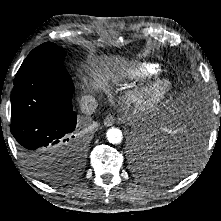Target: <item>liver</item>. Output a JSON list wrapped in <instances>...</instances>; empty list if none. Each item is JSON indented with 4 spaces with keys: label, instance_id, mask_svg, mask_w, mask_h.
Returning a JSON list of instances; mask_svg holds the SVG:
<instances>
[{
    "label": "liver",
    "instance_id": "1",
    "mask_svg": "<svg viewBox=\"0 0 221 221\" xmlns=\"http://www.w3.org/2000/svg\"><path fill=\"white\" fill-rule=\"evenodd\" d=\"M87 64L89 79H84V83L89 89L94 88L101 80L114 78L117 73H122L128 66V62L125 58L112 56H104L99 59L92 57L88 59ZM45 162V166L50 167V165L54 163V160L50 158ZM40 164L43 165V162Z\"/></svg>",
    "mask_w": 221,
    "mask_h": 221
}]
</instances>
